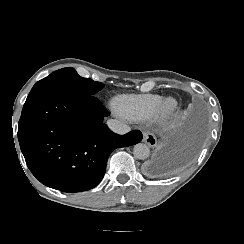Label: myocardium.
Returning a JSON list of instances; mask_svg holds the SVG:
<instances>
[{"label": "myocardium", "mask_w": 244, "mask_h": 244, "mask_svg": "<svg viewBox=\"0 0 244 244\" xmlns=\"http://www.w3.org/2000/svg\"><path fill=\"white\" fill-rule=\"evenodd\" d=\"M177 106L176 99L171 96L161 99L157 107L156 122L160 124L167 122L174 115Z\"/></svg>", "instance_id": "obj_1"}]
</instances>
